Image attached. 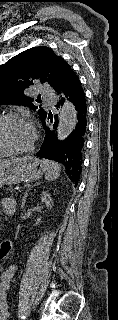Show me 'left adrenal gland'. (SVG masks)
I'll return each mask as SVG.
<instances>
[{
    "label": "left adrenal gland",
    "mask_w": 118,
    "mask_h": 320,
    "mask_svg": "<svg viewBox=\"0 0 118 320\" xmlns=\"http://www.w3.org/2000/svg\"><path fill=\"white\" fill-rule=\"evenodd\" d=\"M39 184H40V183H37V185H39ZM35 186H36V185L30 187V188L27 189L26 192L24 193V196H23V198H22V205H21L22 208H23L24 205H25L26 198H27V196H28V192L31 190V188H33V187H35Z\"/></svg>",
    "instance_id": "a2214340"
}]
</instances>
